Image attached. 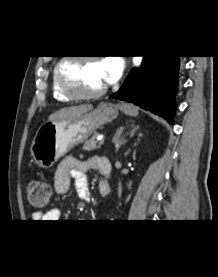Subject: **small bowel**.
<instances>
[{"label":"small bowel","mask_w":218,"mask_h":277,"mask_svg":"<svg viewBox=\"0 0 218 277\" xmlns=\"http://www.w3.org/2000/svg\"><path fill=\"white\" fill-rule=\"evenodd\" d=\"M105 158V157H103ZM107 159V158H106ZM90 170H96L102 175H109L111 172L110 163L100 162L98 157L90 159H78L75 157H67L58 165L54 174V188L56 193H66L74 180V186L80 200L84 202L90 201V192L87 186L86 173ZM61 215L59 208H53L46 212H36L33 214L35 222H55Z\"/></svg>","instance_id":"1"}]
</instances>
